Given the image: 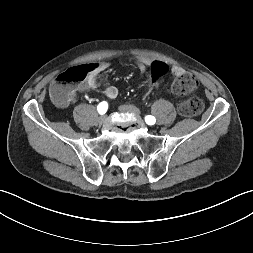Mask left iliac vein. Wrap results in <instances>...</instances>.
Segmentation results:
<instances>
[{
	"label": "left iliac vein",
	"mask_w": 253,
	"mask_h": 253,
	"mask_svg": "<svg viewBox=\"0 0 253 253\" xmlns=\"http://www.w3.org/2000/svg\"><path fill=\"white\" fill-rule=\"evenodd\" d=\"M119 110L123 113H130V114H133L137 117L140 116V111L138 108H136L135 106H132V105H121L119 107Z\"/></svg>",
	"instance_id": "1"
}]
</instances>
